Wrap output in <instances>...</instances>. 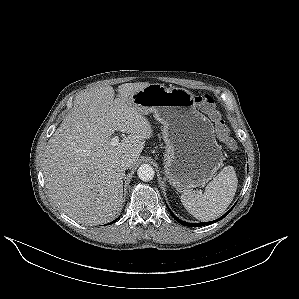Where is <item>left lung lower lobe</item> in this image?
<instances>
[{
    "mask_svg": "<svg viewBox=\"0 0 299 299\" xmlns=\"http://www.w3.org/2000/svg\"><path fill=\"white\" fill-rule=\"evenodd\" d=\"M233 207H234V206H233ZM233 207H232L226 214H224L221 218L216 219V220H214V221H210V222H202V223H186V222H184V221L178 219V218L171 212V210H170L169 208H168V209H169V211H170L172 217H173L177 222H179L180 224L185 225V226H190V227H200V226H204V225H209V224L215 223V222L219 221L220 219L224 218V217H225V216H226V215L233 209Z\"/></svg>",
    "mask_w": 299,
    "mask_h": 299,
    "instance_id": "1",
    "label": "left lung lower lobe"
}]
</instances>
